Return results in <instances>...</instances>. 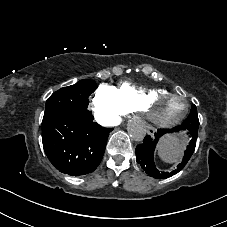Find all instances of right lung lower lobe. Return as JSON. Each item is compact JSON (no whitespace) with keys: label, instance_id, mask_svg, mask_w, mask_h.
Here are the masks:
<instances>
[{"label":"right lung lower lobe","instance_id":"98d812e1","mask_svg":"<svg viewBox=\"0 0 227 227\" xmlns=\"http://www.w3.org/2000/svg\"><path fill=\"white\" fill-rule=\"evenodd\" d=\"M93 119L87 110L42 121L44 151L60 172L79 176L92 173L100 164L112 129L100 126Z\"/></svg>","mask_w":227,"mask_h":227}]
</instances>
